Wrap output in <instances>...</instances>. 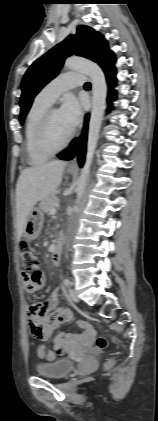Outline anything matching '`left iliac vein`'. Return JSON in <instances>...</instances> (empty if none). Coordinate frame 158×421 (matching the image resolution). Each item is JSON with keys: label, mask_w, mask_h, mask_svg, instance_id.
Instances as JSON below:
<instances>
[{"label": "left iliac vein", "mask_w": 158, "mask_h": 421, "mask_svg": "<svg viewBox=\"0 0 158 421\" xmlns=\"http://www.w3.org/2000/svg\"><path fill=\"white\" fill-rule=\"evenodd\" d=\"M69 294H70V298H71L74 302H78V301H79V299H78V297H77V294H76V292H75V290H74V289L70 288V290H69Z\"/></svg>", "instance_id": "left-iliac-vein-1"}]
</instances>
